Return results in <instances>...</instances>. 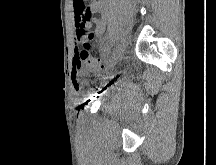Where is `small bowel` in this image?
<instances>
[{
  "label": "small bowel",
  "instance_id": "obj_1",
  "mask_svg": "<svg viewBox=\"0 0 216 165\" xmlns=\"http://www.w3.org/2000/svg\"><path fill=\"white\" fill-rule=\"evenodd\" d=\"M73 12L76 28L75 34L78 41H81V29L92 31L94 35L98 36L104 33L105 23L102 19L92 18V16L87 20L83 18V13H102L104 19L106 15L104 0H93L91 5H86L84 0H73ZM80 83L81 76L77 73L73 79V87L77 92L80 90Z\"/></svg>",
  "mask_w": 216,
  "mask_h": 165
}]
</instances>
